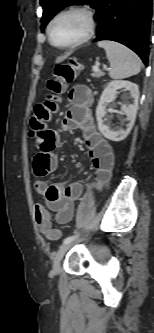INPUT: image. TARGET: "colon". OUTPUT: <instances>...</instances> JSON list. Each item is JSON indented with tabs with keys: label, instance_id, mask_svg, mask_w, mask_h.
<instances>
[{
	"label": "colon",
	"instance_id": "obj_1",
	"mask_svg": "<svg viewBox=\"0 0 154 333\" xmlns=\"http://www.w3.org/2000/svg\"><path fill=\"white\" fill-rule=\"evenodd\" d=\"M77 69V62L72 60L67 64L55 67L53 77L47 82L49 93L45 101L34 106L30 119V134L32 136L42 131L52 115L57 112L60 97L66 85L74 80ZM34 215L38 228L47 238L55 240L60 237L59 230L52 228L50 214L43 204L34 206Z\"/></svg>",
	"mask_w": 154,
	"mask_h": 333
}]
</instances>
